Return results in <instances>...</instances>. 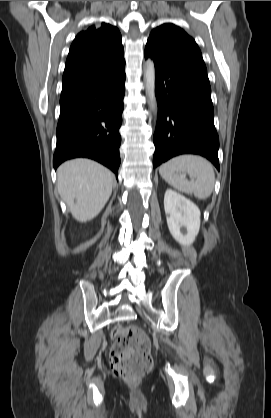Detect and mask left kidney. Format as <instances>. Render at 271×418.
Instances as JSON below:
<instances>
[{"mask_svg":"<svg viewBox=\"0 0 271 418\" xmlns=\"http://www.w3.org/2000/svg\"><path fill=\"white\" fill-rule=\"evenodd\" d=\"M164 208L171 235L180 244L191 245L200 230L199 208L172 189L165 192Z\"/></svg>","mask_w":271,"mask_h":418,"instance_id":"obj_1","label":"left kidney"}]
</instances>
